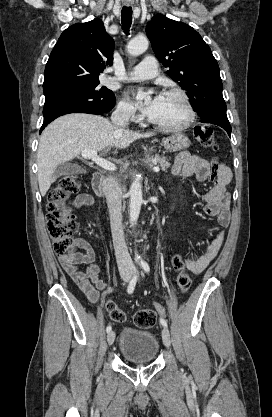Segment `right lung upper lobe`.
<instances>
[{
    "instance_id": "right-lung-upper-lobe-1",
    "label": "right lung upper lobe",
    "mask_w": 272,
    "mask_h": 417,
    "mask_svg": "<svg viewBox=\"0 0 272 417\" xmlns=\"http://www.w3.org/2000/svg\"><path fill=\"white\" fill-rule=\"evenodd\" d=\"M114 40L100 19L77 23L58 39L45 67L43 91L100 83L98 75L113 61Z\"/></svg>"
}]
</instances>
